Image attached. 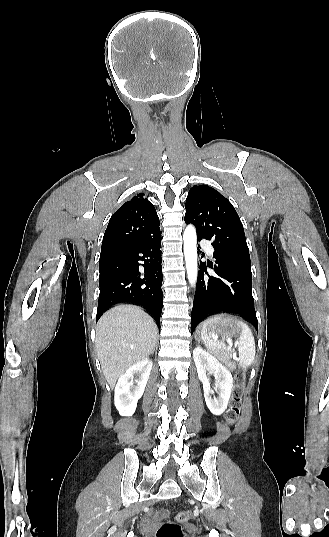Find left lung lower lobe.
Wrapping results in <instances>:
<instances>
[{
  "label": "left lung lower lobe",
  "instance_id": "0a47b994",
  "mask_svg": "<svg viewBox=\"0 0 329 537\" xmlns=\"http://www.w3.org/2000/svg\"><path fill=\"white\" fill-rule=\"evenodd\" d=\"M199 241V240H198ZM214 268L200 261L192 309L191 333L207 316L216 313L238 314L258 329L252 296L251 266L214 252ZM207 266L217 276L207 273Z\"/></svg>",
  "mask_w": 329,
  "mask_h": 537
}]
</instances>
